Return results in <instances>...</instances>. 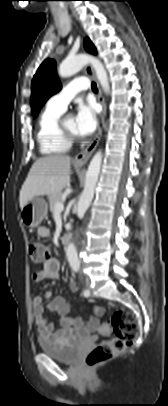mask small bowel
Wrapping results in <instances>:
<instances>
[{"instance_id": "c3829d8e", "label": "small bowel", "mask_w": 168, "mask_h": 406, "mask_svg": "<svg viewBox=\"0 0 168 406\" xmlns=\"http://www.w3.org/2000/svg\"><path fill=\"white\" fill-rule=\"evenodd\" d=\"M37 234L40 237H48L50 232L45 226L39 227ZM59 261L56 258L49 259L42 270L33 274V279L36 282H41L45 279H57L59 274ZM69 288L75 292L77 285L74 280H70ZM45 298L51 299L48 305H43V297L35 295L32 298L33 318L38 328L41 338L48 342L71 346L76 340L85 338L92 333L100 330L99 317L103 315V307L96 305L93 307V315L84 321L80 317L70 315V306L62 297L52 298L51 292H46ZM56 312L59 319V326L54 323H49L45 317V313ZM101 332V331H100Z\"/></svg>"}]
</instances>
